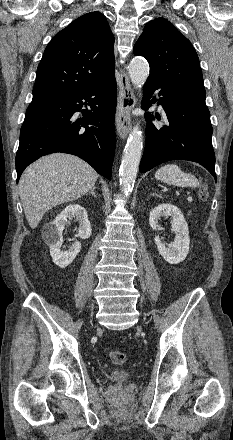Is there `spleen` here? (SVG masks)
Masks as SVG:
<instances>
[{
	"mask_svg": "<svg viewBox=\"0 0 233 440\" xmlns=\"http://www.w3.org/2000/svg\"><path fill=\"white\" fill-rule=\"evenodd\" d=\"M156 179L178 187H199L197 178L183 172L176 164H166L159 168L155 173Z\"/></svg>",
	"mask_w": 233,
	"mask_h": 440,
	"instance_id": "1",
	"label": "spleen"
}]
</instances>
